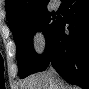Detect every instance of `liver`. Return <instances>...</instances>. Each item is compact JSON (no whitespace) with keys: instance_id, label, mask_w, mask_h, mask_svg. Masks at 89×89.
<instances>
[{"instance_id":"obj_1","label":"liver","mask_w":89,"mask_h":89,"mask_svg":"<svg viewBox=\"0 0 89 89\" xmlns=\"http://www.w3.org/2000/svg\"><path fill=\"white\" fill-rule=\"evenodd\" d=\"M60 82L57 79L55 73L51 70L44 71L39 74L31 75L23 83V89H73L67 88H56L60 87L57 83Z\"/></svg>"}]
</instances>
